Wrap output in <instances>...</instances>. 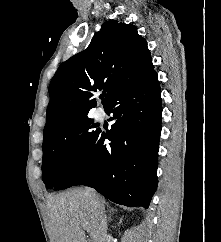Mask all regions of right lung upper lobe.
I'll return each instance as SVG.
<instances>
[{"label":"right lung upper lobe","mask_w":221,"mask_h":242,"mask_svg":"<svg viewBox=\"0 0 221 242\" xmlns=\"http://www.w3.org/2000/svg\"><path fill=\"white\" fill-rule=\"evenodd\" d=\"M147 42L132 24L103 23L86 50L60 65L49 85L44 137L87 116L96 106L93 92L103 90L106 109L123 90L153 71Z\"/></svg>","instance_id":"obj_1"}]
</instances>
